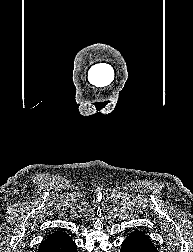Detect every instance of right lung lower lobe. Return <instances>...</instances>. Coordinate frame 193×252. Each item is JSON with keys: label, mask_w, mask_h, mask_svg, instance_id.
<instances>
[{"label": "right lung lower lobe", "mask_w": 193, "mask_h": 252, "mask_svg": "<svg viewBox=\"0 0 193 252\" xmlns=\"http://www.w3.org/2000/svg\"><path fill=\"white\" fill-rule=\"evenodd\" d=\"M38 252H77L75 242L64 232L55 231L41 244Z\"/></svg>", "instance_id": "98d812e1"}]
</instances>
